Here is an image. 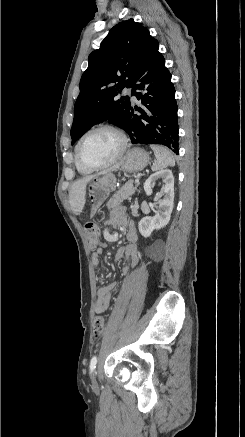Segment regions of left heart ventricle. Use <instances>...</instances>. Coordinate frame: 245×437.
<instances>
[{
	"label": "left heart ventricle",
	"mask_w": 245,
	"mask_h": 437,
	"mask_svg": "<svg viewBox=\"0 0 245 437\" xmlns=\"http://www.w3.org/2000/svg\"><path fill=\"white\" fill-rule=\"evenodd\" d=\"M120 139L112 131L99 130L89 134L81 144L82 158L92 164H103L113 159L120 149Z\"/></svg>",
	"instance_id": "obj_1"
}]
</instances>
